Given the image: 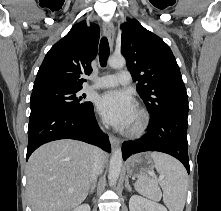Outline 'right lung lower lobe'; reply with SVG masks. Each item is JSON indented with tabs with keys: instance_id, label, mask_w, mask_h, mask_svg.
Segmentation results:
<instances>
[{
	"instance_id": "obj_1",
	"label": "right lung lower lobe",
	"mask_w": 221,
	"mask_h": 211,
	"mask_svg": "<svg viewBox=\"0 0 221 211\" xmlns=\"http://www.w3.org/2000/svg\"><path fill=\"white\" fill-rule=\"evenodd\" d=\"M59 139H75L111 152L93 112V104L83 110L47 109L30 114L27 159L42 144Z\"/></svg>"
}]
</instances>
